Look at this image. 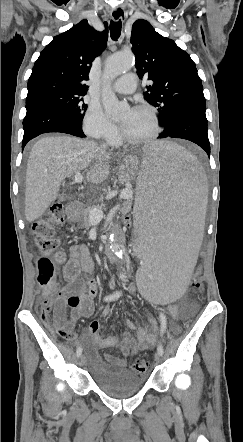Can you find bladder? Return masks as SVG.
<instances>
[{
  "mask_svg": "<svg viewBox=\"0 0 243 442\" xmlns=\"http://www.w3.org/2000/svg\"><path fill=\"white\" fill-rule=\"evenodd\" d=\"M90 376L94 384L106 395L125 399L136 394L143 386L144 380L113 362L100 360L91 366Z\"/></svg>",
  "mask_w": 243,
  "mask_h": 442,
  "instance_id": "bladder-1",
  "label": "bladder"
}]
</instances>
